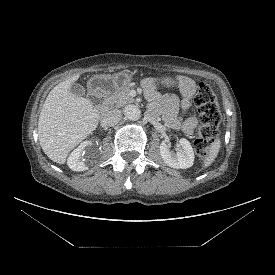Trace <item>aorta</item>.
Returning a JSON list of instances; mask_svg holds the SVG:
<instances>
[{
	"label": "aorta",
	"mask_w": 275,
	"mask_h": 275,
	"mask_svg": "<svg viewBox=\"0 0 275 275\" xmlns=\"http://www.w3.org/2000/svg\"><path fill=\"white\" fill-rule=\"evenodd\" d=\"M124 115L129 120L136 121L140 118L141 111L136 105H127L124 108Z\"/></svg>",
	"instance_id": "aorta-1"
}]
</instances>
